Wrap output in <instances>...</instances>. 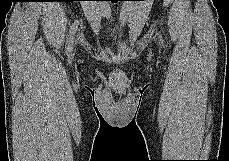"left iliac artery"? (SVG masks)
<instances>
[{"label": "left iliac artery", "mask_w": 229, "mask_h": 161, "mask_svg": "<svg viewBox=\"0 0 229 161\" xmlns=\"http://www.w3.org/2000/svg\"><path fill=\"white\" fill-rule=\"evenodd\" d=\"M160 41H161V43H163V38H162V36L160 35Z\"/></svg>", "instance_id": "obj_1"}]
</instances>
